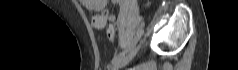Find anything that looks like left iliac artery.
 <instances>
[{
    "label": "left iliac artery",
    "mask_w": 238,
    "mask_h": 70,
    "mask_svg": "<svg viewBox=\"0 0 238 70\" xmlns=\"http://www.w3.org/2000/svg\"><path fill=\"white\" fill-rule=\"evenodd\" d=\"M141 34H142V30H138V32H137V36L138 37H134V41H130V43H129V45H127V47L126 48H124L123 49V52H121V53H119V54H117V55H115L114 56V58L112 59V64H115V63H117L119 60H121L124 56H125V54L128 52V51H132V50H134L135 49V46L137 45V42H139V36H141Z\"/></svg>",
    "instance_id": "left-iliac-artery-1"
}]
</instances>
